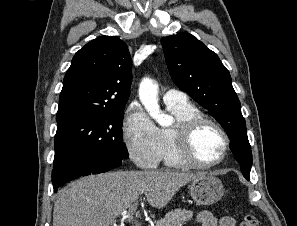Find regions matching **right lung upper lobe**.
I'll list each match as a JSON object with an SVG mask.
<instances>
[{
  "label": "right lung upper lobe",
  "instance_id": "1",
  "mask_svg": "<svg viewBox=\"0 0 297 226\" xmlns=\"http://www.w3.org/2000/svg\"><path fill=\"white\" fill-rule=\"evenodd\" d=\"M131 79L127 45L115 36L92 40L75 54L66 72L56 119L123 111Z\"/></svg>",
  "mask_w": 297,
  "mask_h": 226
}]
</instances>
